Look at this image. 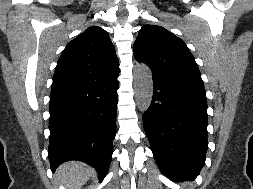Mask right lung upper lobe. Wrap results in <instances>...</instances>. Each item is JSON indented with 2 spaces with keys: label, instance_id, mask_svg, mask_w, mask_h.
<instances>
[{
  "label": "right lung upper lobe",
  "instance_id": "obj_1",
  "mask_svg": "<svg viewBox=\"0 0 253 189\" xmlns=\"http://www.w3.org/2000/svg\"><path fill=\"white\" fill-rule=\"evenodd\" d=\"M118 74L119 61L107 32L92 26L67 44L57 62L52 86L93 84Z\"/></svg>",
  "mask_w": 253,
  "mask_h": 189
}]
</instances>
